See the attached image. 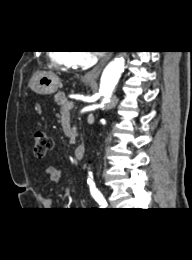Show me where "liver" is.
I'll return each mask as SVG.
<instances>
[{
	"label": "liver",
	"mask_w": 192,
	"mask_h": 260,
	"mask_svg": "<svg viewBox=\"0 0 192 260\" xmlns=\"http://www.w3.org/2000/svg\"><path fill=\"white\" fill-rule=\"evenodd\" d=\"M40 73H45V74H47V73H50V72H40Z\"/></svg>",
	"instance_id": "6515ba94"
}]
</instances>
